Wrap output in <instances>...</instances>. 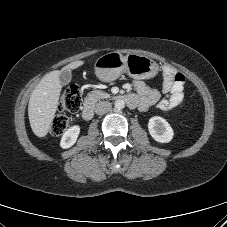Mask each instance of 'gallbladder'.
<instances>
[{
    "label": "gallbladder",
    "instance_id": "1",
    "mask_svg": "<svg viewBox=\"0 0 227 227\" xmlns=\"http://www.w3.org/2000/svg\"><path fill=\"white\" fill-rule=\"evenodd\" d=\"M72 78V74L70 70H62L59 74V79L62 85H67Z\"/></svg>",
    "mask_w": 227,
    "mask_h": 227
}]
</instances>
